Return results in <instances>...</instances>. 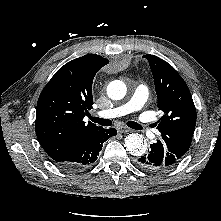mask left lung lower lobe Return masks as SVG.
<instances>
[{
	"label": "left lung lower lobe",
	"instance_id": "0a47b994",
	"mask_svg": "<svg viewBox=\"0 0 221 221\" xmlns=\"http://www.w3.org/2000/svg\"><path fill=\"white\" fill-rule=\"evenodd\" d=\"M136 164L142 170L160 173L173 168L177 163L163 143L158 140L150 145L146 154L137 159Z\"/></svg>",
	"mask_w": 221,
	"mask_h": 221
}]
</instances>
